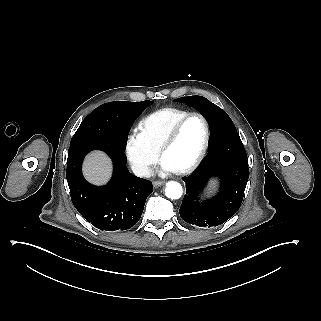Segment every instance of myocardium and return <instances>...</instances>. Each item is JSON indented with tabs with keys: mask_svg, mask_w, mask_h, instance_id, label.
<instances>
[{
	"mask_svg": "<svg viewBox=\"0 0 321 321\" xmlns=\"http://www.w3.org/2000/svg\"><path fill=\"white\" fill-rule=\"evenodd\" d=\"M194 117L200 118L203 122L204 139H203V143H202V146H201L198 154L196 155L194 160L191 162V164L188 165L187 167H185L184 169L178 170V173H180L182 175H187V174L194 172L199 167V165L201 164V162L203 161V159L206 156V153L208 151L209 144H210V126H209L207 119L200 113H190V114L182 117L181 119H179L177 122H175L172 125V127L169 129V131L163 137V139L160 142V145L158 147L159 154L161 156H163L164 149L175 140V138L177 137V134H178L180 128L183 126V124Z\"/></svg>",
	"mask_w": 321,
	"mask_h": 321,
	"instance_id": "f54148a6",
	"label": "myocardium"
}]
</instances>
